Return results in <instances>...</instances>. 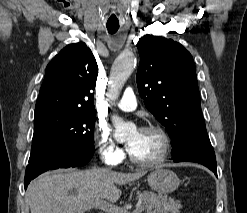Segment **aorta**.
<instances>
[{
	"label": "aorta",
	"mask_w": 247,
	"mask_h": 213,
	"mask_svg": "<svg viewBox=\"0 0 247 213\" xmlns=\"http://www.w3.org/2000/svg\"><path fill=\"white\" fill-rule=\"evenodd\" d=\"M136 58L131 52H123L112 66L110 74V89L108 99L114 101L118 98L119 92L129 76L131 75ZM117 133L125 134L134 128L132 123H126L118 116L112 118Z\"/></svg>",
	"instance_id": "aorta-1"
}]
</instances>
